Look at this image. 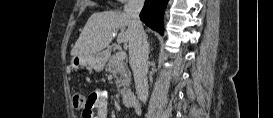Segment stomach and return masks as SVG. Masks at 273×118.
<instances>
[{"mask_svg": "<svg viewBox=\"0 0 273 118\" xmlns=\"http://www.w3.org/2000/svg\"><path fill=\"white\" fill-rule=\"evenodd\" d=\"M107 61V55L104 52H98L90 55H75L70 61V66L77 70L85 66H90L97 72L103 70Z\"/></svg>", "mask_w": 273, "mask_h": 118, "instance_id": "0dacf381", "label": "stomach"}]
</instances>
